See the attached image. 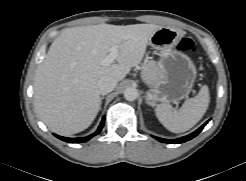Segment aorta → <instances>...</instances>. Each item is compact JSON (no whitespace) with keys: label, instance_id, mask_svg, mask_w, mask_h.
<instances>
[{"label":"aorta","instance_id":"1","mask_svg":"<svg viewBox=\"0 0 246 181\" xmlns=\"http://www.w3.org/2000/svg\"><path fill=\"white\" fill-rule=\"evenodd\" d=\"M138 97V90L134 87H128L124 91V98L128 101H134Z\"/></svg>","mask_w":246,"mask_h":181}]
</instances>
